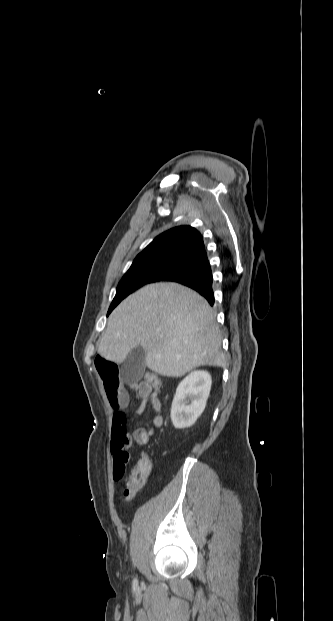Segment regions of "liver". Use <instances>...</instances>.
Returning <instances> with one entry per match:
<instances>
[{
	"mask_svg": "<svg viewBox=\"0 0 333 621\" xmlns=\"http://www.w3.org/2000/svg\"><path fill=\"white\" fill-rule=\"evenodd\" d=\"M221 334L208 302L176 283H155L127 297L108 318L98 353L122 363L141 346L147 367L181 377L203 366L224 367Z\"/></svg>",
	"mask_w": 333,
	"mask_h": 621,
	"instance_id": "1",
	"label": "liver"
}]
</instances>
